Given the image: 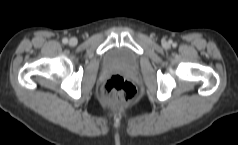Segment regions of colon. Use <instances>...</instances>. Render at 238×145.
I'll return each instance as SVG.
<instances>
[{
	"label": "colon",
	"mask_w": 238,
	"mask_h": 145,
	"mask_svg": "<svg viewBox=\"0 0 238 145\" xmlns=\"http://www.w3.org/2000/svg\"><path fill=\"white\" fill-rule=\"evenodd\" d=\"M102 95L107 102L120 106L131 102L135 98L136 89L126 78L113 75L105 82Z\"/></svg>",
	"instance_id": "5ec220e1"
}]
</instances>
